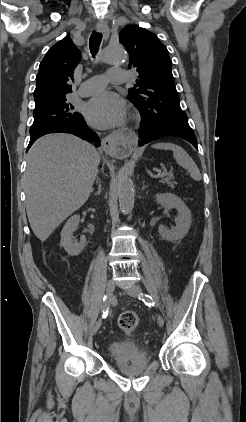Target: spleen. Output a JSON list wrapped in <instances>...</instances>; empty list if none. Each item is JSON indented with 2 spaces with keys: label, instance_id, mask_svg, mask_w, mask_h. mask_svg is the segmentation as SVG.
<instances>
[{
  "label": "spleen",
  "instance_id": "3e777b00",
  "mask_svg": "<svg viewBox=\"0 0 246 422\" xmlns=\"http://www.w3.org/2000/svg\"><path fill=\"white\" fill-rule=\"evenodd\" d=\"M152 147L155 149L171 150L176 162L183 168L187 169L191 178L195 181L201 180V173L197 165L182 147L172 143H156L152 145Z\"/></svg>",
  "mask_w": 246,
  "mask_h": 422
}]
</instances>
